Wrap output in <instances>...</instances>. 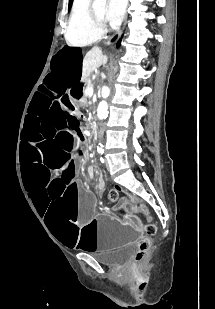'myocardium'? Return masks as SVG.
<instances>
[{
	"instance_id": "obj_1",
	"label": "myocardium",
	"mask_w": 215,
	"mask_h": 309,
	"mask_svg": "<svg viewBox=\"0 0 215 309\" xmlns=\"http://www.w3.org/2000/svg\"><path fill=\"white\" fill-rule=\"evenodd\" d=\"M85 13L88 17H90L91 20L95 19L94 13L91 12V9H86ZM91 24L95 26L91 30H109L110 28L109 21L106 19H97L94 21V23ZM95 34L98 35V33Z\"/></svg>"
}]
</instances>
